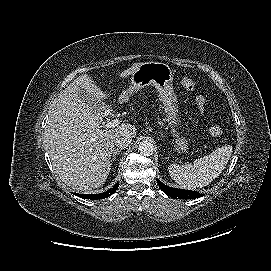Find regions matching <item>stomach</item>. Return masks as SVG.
<instances>
[{
	"label": "stomach",
	"instance_id": "obj_1",
	"mask_svg": "<svg viewBox=\"0 0 271 271\" xmlns=\"http://www.w3.org/2000/svg\"><path fill=\"white\" fill-rule=\"evenodd\" d=\"M173 74V70L167 64L160 62L142 63L131 75L130 86L120 95L119 100L125 102L135 92L153 85L157 89L159 99L163 104L168 127L171 128L170 131L174 138L173 150L178 153H184L189 149V142L178 131V127L181 126V120L177 97L173 88Z\"/></svg>",
	"mask_w": 271,
	"mask_h": 271
}]
</instances>
